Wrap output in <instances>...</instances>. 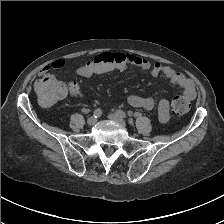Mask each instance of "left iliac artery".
<instances>
[{"label":"left iliac artery","mask_w":224,"mask_h":224,"mask_svg":"<svg viewBox=\"0 0 224 224\" xmlns=\"http://www.w3.org/2000/svg\"><path fill=\"white\" fill-rule=\"evenodd\" d=\"M116 114L122 118H125L126 117V113L122 110H117L116 111Z\"/></svg>","instance_id":"obj_1"}]
</instances>
